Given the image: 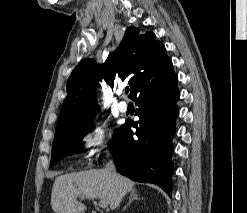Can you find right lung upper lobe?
I'll list each match as a JSON object with an SVG mask.
<instances>
[{"label": "right lung upper lobe", "instance_id": "obj_1", "mask_svg": "<svg viewBox=\"0 0 247 213\" xmlns=\"http://www.w3.org/2000/svg\"><path fill=\"white\" fill-rule=\"evenodd\" d=\"M171 66L164 45L156 40L154 33L141 34L138 28L130 27L104 64L98 65L92 59H85L74 68L67 82V97L61 108L56 133L91 121L99 109L95 98L97 81L101 78L111 87L116 78H129L132 98L140 87Z\"/></svg>", "mask_w": 247, "mask_h": 213}]
</instances>
